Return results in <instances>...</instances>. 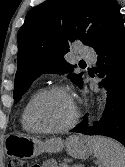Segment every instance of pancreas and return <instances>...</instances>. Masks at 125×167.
<instances>
[{"mask_svg":"<svg viewBox=\"0 0 125 167\" xmlns=\"http://www.w3.org/2000/svg\"><path fill=\"white\" fill-rule=\"evenodd\" d=\"M60 167H69V165H67L65 162L60 164Z\"/></svg>","mask_w":125,"mask_h":167,"instance_id":"obj_1","label":"pancreas"}]
</instances>
